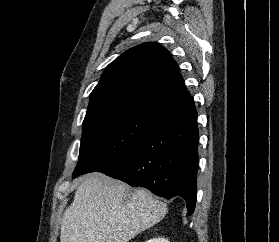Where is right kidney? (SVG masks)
Wrapping results in <instances>:
<instances>
[{
  "instance_id": "right-kidney-1",
  "label": "right kidney",
  "mask_w": 279,
  "mask_h": 242,
  "mask_svg": "<svg viewBox=\"0 0 279 242\" xmlns=\"http://www.w3.org/2000/svg\"><path fill=\"white\" fill-rule=\"evenodd\" d=\"M146 242H169L167 239L164 238H154V239H150Z\"/></svg>"
}]
</instances>
